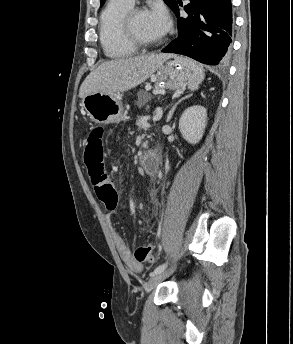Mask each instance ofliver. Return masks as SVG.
Returning a JSON list of instances; mask_svg holds the SVG:
<instances>
[{
  "label": "liver",
  "instance_id": "1",
  "mask_svg": "<svg viewBox=\"0 0 293 344\" xmlns=\"http://www.w3.org/2000/svg\"><path fill=\"white\" fill-rule=\"evenodd\" d=\"M171 57L160 53L104 62L86 77L79 97L83 99L92 93L111 95L135 88Z\"/></svg>",
  "mask_w": 293,
  "mask_h": 344
}]
</instances>
